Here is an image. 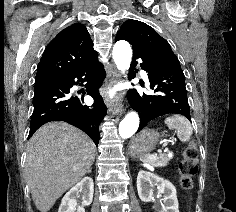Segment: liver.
Instances as JSON below:
<instances>
[{
	"mask_svg": "<svg viewBox=\"0 0 236 212\" xmlns=\"http://www.w3.org/2000/svg\"><path fill=\"white\" fill-rule=\"evenodd\" d=\"M94 142L66 122L40 127L27 145L26 179L40 212H48L69 188L78 183L92 166Z\"/></svg>",
	"mask_w": 236,
	"mask_h": 212,
	"instance_id": "6515ba94",
	"label": "liver"
}]
</instances>
